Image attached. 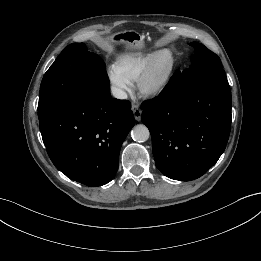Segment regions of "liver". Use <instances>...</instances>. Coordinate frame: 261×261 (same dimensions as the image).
<instances>
[{
  "mask_svg": "<svg viewBox=\"0 0 261 261\" xmlns=\"http://www.w3.org/2000/svg\"><path fill=\"white\" fill-rule=\"evenodd\" d=\"M101 44L103 45V46H106V47H108V46H110L111 44H112V41H110L109 39H104L103 41H101Z\"/></svg>",
  "mask_w": 261,
  "mask_h": 261,
  "instance_id": "6515ba94",
  "label": "liver"
}]
</instances>
